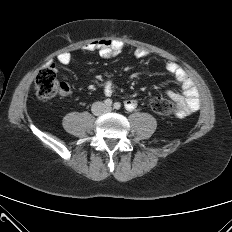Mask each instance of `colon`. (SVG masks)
<instances>
[{
	"instance_id": "5ec220e1",
	"label": "colon",
	"mask_w": 232,
	"mask_h": 232,
	"mask_svg": "<svg viewBox=\"0 0 232 232\" xmlns=\"http://www.w3.org/2000/svg\"><path fill=\"white\" fill-rule=\"evenodd\" d=\"M35 88L39 98L49 99L62 92L63 85L57 80L54 69L51 66H46L38 71L35 78ZM150 108L161 116H171L174 113L173 103L160 96L151 98Z\"/></svg>"
}]
</instances>
